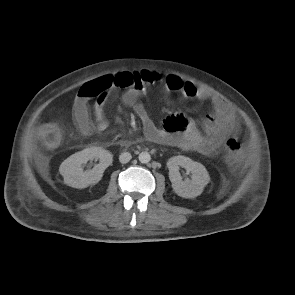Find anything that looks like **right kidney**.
<instances>
[{"label": "right kidney", "instance_id": "ca27d5eb", "mask_svg": "<svg viewBox=\"0 0 295 295\" xmlns=\"http://www.w3.org/2000/svg\"><path fill=\"white\" fill-rule=\"evenodd\" d=\"M99 159L100 163L93 169L83 171L82 164ZM112 164V154L101 147H90L76 152L62 162L59 168L65 184L73 188H86L98 183L104 170Z\"/></svg>", "mask_w": 295, "mask_h": 295}]
</instances>
